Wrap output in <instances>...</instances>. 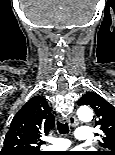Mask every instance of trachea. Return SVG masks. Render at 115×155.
<instances>
[{"instance_id": "obj_1", "label": "trachea", "mask_w": 115, "mask_h": 155, "mask_svg": "<svg viewBox=\"0 0 115 155\" xmlns=\"http://www.w3.org/2000/svg\"><path fill=\"white\" fill-rule=\"evenodd\" d=\"M57 129L60 134H67L69 133V127L67 123H64L62 121H57Z\"/></svg>"}]
</instances>
